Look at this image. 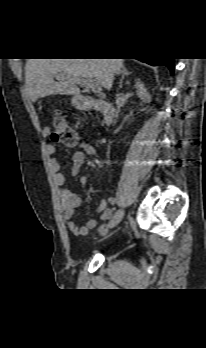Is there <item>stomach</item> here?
Instances as JSON below:
<instances>
[{"instance_id": "1", "label": "stomach", "mask_w": 206, "mask_h": 348, "mask_svg": "<svg viewBox=\"0 0 206 348\" xmlns=\"http://www.w3.org/2000/svg\"><path fill=\"white\" fill-rule=\"evenodd\" d=\"M72 101L73 103L78 104L77 98L74 97Z\"/></svg>"}]
</instances>
